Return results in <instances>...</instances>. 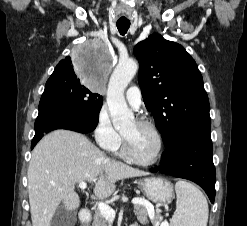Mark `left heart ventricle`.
Returning <instances> with one entry per match:
<instances>
[{
  "label": "left heart ventricle",
  "instance_id": "b2bd125f",
  "mask_svg": "<svg viewBox=\"0 0 247 226\" xmlns=\"http://www.w3.org/2000/svg\"><path fill=\"white\" fill-rule=\"evenodd\" d=\"M122 134L126 137L130 150L135 157L149 160L155 156L158 142L150 129L132 122L122 131Z\"/></svg>",
  "mask_w": 247,
  "mask_h": 226
}]
</instances>
